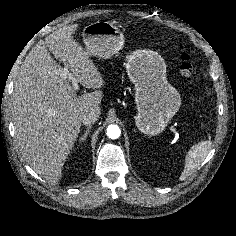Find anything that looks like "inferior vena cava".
I'll list each match as a JSON object with an SVG mask.
<instances>
[{"mask_svg":"<svg viewBox=\"0 0 236 236\" xmlns=\"http://www.w3.org/2000/svg\"><path fill=\"white\" fill-rule=\"evenodd\" d=\"M99 113L96 112V111H88V112H85L82 114L81 116V122L84 124V125H91L93 123H95L98 118H99Z\"/></svg>","mask_w":236,"mask_h":236,"instance_id":"inferior-vena-cava-1","label":"inferior vena cava"}]
</instances>
